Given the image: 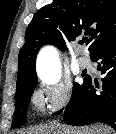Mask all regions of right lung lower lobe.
I'll return each mask as SVG.
<instances>
[{"label":"right lung lower lobe","instance_id":"98d812e1","mask_svg":"<svg viewBox=\"0 0 116 134\" xmlns=\"http://www.w3.org/2000/svg\"><path fill=\"white\" fill-rule=\"evenodd\" d=\"M90 57L104 75L102 85L99 86L97 80L85 79L78 95L68 103L64 121L68 125L78 126L102 122L116 131V39Z\"/></svg>","mask_w":116,"mask_h":134}]
</instances>
